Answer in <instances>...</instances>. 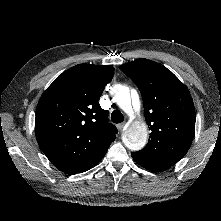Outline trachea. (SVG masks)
<instances>
[{
  "label": "trachea",
  "instance_id": "trachea-1",
  "mask_svg": "<svg viewBox=\"0 0 221 221\" xmlns=\"http://www.w3.org/2000/svg\"><path fill=\"white\" fill-rule=\"evenodd\" d=\"M124 117L123 114L119 110H114L111 114V121L113 123H121L123 122Z\"/></svg>",
  "mask_w": 221,
  "mask_h": 221
}]
</instances>
